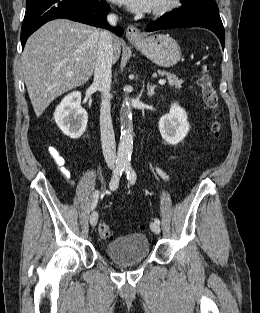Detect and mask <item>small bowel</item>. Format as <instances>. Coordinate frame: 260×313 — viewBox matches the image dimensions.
<instances>
[{
    "label": "small bowel",
    "instance_id": "c3829d8e",
    "mask_svg": "<svg viewBox=\"0 0 260 313\" xmlns=\"http://www.w3.org/2000/svg\"><path fill=\"white\" fill-rule=\"evenodd\" d=\"M49 153L55 159L58 165H62L64 163V160L62 159L60 153L55 148H50ZM159 173L163 178H167V174L163 170H159ZM62 174L64 178L68 181V183H70L71 185L74 184L71 173L68 170L63 169Z\"/></svg>",
    "mask_w": 260,
    "mask_h": 313
}]
</instances>
